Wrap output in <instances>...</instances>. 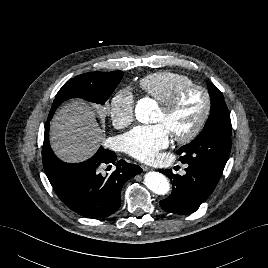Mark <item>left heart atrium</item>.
Masks as SVG:
<instances>
[{
    "mask_svg": "<svg viewBox=\"0 0 268 268\" xmlns=\"http://www.w3.org/2000/svg\"><path fill=\"white\" fill-rule=\"evenodd\" d=\"M125 152L143 162H152L169 144V133L161 123L137 126L122 138Z\"/></svg>",
    "mask_w": 268,
    "mask_h": 268,
    "instance_id": "39dd6f15",
    "label": "left heart atrium"
}]
</instances>
